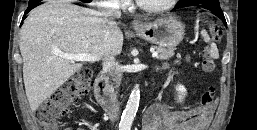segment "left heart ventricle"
Here are the masks:
<instances>
[{"mask_svg": "<svg viewBox=\"0 0 257 130\" xmlns=\"http://www.w3.org/2000/svg\"><path fill=\"white\" fill-rule=\"evenodd\" d=\"M141 3L147 6H159L167 2L168 0H140Z\"/></svg>", "mask_w": 257, "mask_h": 130, "instance_id": "1", "label": "left heart ventricle"}]
</instances>
